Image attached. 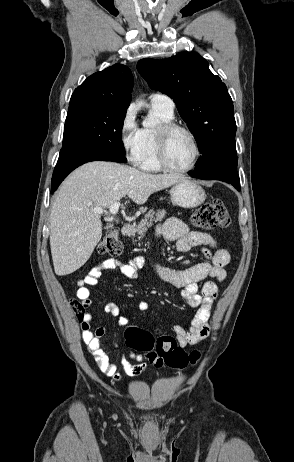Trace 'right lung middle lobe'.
Segmentation results:
<instances>
[{
	"label": "right lung middle lobe",
	"mask_w": 294,
	"mask_h": 462,
	"mask_svg": "<svg viewBox=\"0 0 294 462\" xmlns=\"http://www.w3.org/2000/svg\"><path fill=\"white\" fill-rule=\"evenodd\" d=\"M125 115L126 109L118 107H69L57 163L106 153L125 155L121 137Z\"/></svg>",
	"instance_id": "obj_1"
}]
</instances>
